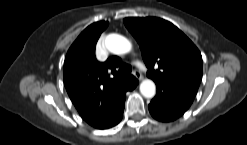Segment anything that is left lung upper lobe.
<instances>
[{"label":"left lung upper lobe","mask_w":247,"mask_h":145,"mask_svg":"<svg viewBox=\"0 0 247 145\" xmlns=\"http://www.w3.org/2000/svg\"><path fill=\"white\" fill-rule=\"evenodd\" d=\"M124 24L139 43L147 76L195 96L202 78V56L192 41L160 18H125Z\"/></svg>","instance_id":"obj_1"}]
</instances>
